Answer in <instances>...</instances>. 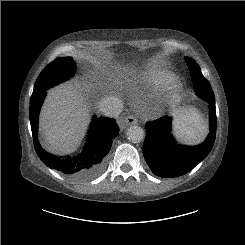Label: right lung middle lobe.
Returning <instances> with one entry per match:
<instances>
[{
  "label": "right lung middle lobe",
  "instance_id": "dd1d6c3e",
  "mask_svg": "<svg viewBox=\"0 0 245 245\" xmlns=\"http://www.w3.org/2000/svg\"><path fill=\"white\" fill-rule=\"evenodd\" d=\"M76 64L71 57L57 58L37 79L32 97H36L46 89L63 82L74 75Z\"/></svg>",
  "mask_w": 245,
  "mask_h": 245
}]
</instances>
